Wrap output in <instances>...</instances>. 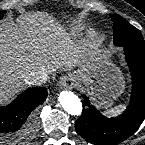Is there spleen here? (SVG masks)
I'll return each instance as SVG.
<instances>
[{
    "mask_svg": "<svg viewBox=\"0 0 145 145\" xmlns=\"http://www.w3.org/2000/svg\"><path fill=\"white\" fill-rule=\"evenodd\" d=\"M122 108L123 107L121 105L120 106H117V107L109 110V113L112 114V115H115V114L119 113Z\"/></svg>",
    "mask_w": 145,
    "mask_h": 145,
    "instance_id": "1",
    "label": "spleen"
}]
</instances>
